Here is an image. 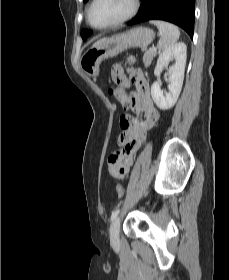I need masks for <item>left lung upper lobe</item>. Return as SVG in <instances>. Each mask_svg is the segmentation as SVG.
Wrapping results in <instances>:
<instances>
[{
	"mask_svg": "<svg viewBox=\"0 0 229 280\" xmlns=\"http://www.w3.org/2000/svg\"><path fill=\"white\" fill-rule=\"evenodd\" d=\"M84 2H87L88 0H83ZM92 33V31L90 30H86V29H83L81 31V37L83 38V40H86V38Z\"/></svg>",
	"mask_w": 229,
	"mask_h": 280,
	"instance_id": "left-lung-upper-lobe-1",
	"label": "left lung upper lobe"
}]
</instances>
